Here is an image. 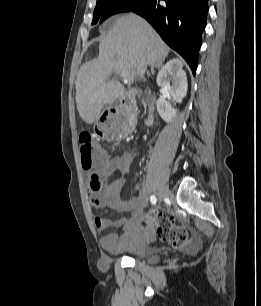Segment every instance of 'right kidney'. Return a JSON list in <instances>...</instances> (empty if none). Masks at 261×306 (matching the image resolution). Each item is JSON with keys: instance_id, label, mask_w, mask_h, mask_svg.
<instances>
[{"instance_id": "ca27d5eb", "label": "right kidney", "mask_w": 261, "mask_h": 306, "mask_svg": "<svg viewBox=\"0 0 261 306\" xmlns=\"http://www.w3.org/2000/svg\"><path fill=\"white\" fill-rule=\"evenodd\" d=\"M183 64L178 59H172L167 62L157 75V84L166 92V96L160 97L157 102V111L161 118L170 123L176 116L177 109H174L166 100L172 98L174 101L181 103L187 94L188 83L185 71L182 69ZM170 82L172 83L170 85Z\"/></svg>"}]
</instances>
